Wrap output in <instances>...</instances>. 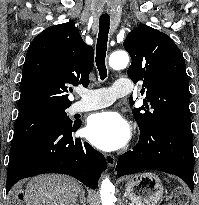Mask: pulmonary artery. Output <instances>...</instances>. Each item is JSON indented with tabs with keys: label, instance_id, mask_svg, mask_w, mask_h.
Listing matches in <instances>:
<instances>
[{
	"label": "pulmonary artery",
	"instance_id": "1",
	"mask_svg": "<svg viewBox=\"0 0 199 205\" xmlns=\"http://www.w3.org/2000/svg\"><path fill=\"white\" fill-rule=\"evenodd\" d=\"M132 85L123 78L117 79L112 86L100 89H84L79 91L81 100L73 103L71 113H82L111 105L117 98L129 94Z\"/></svg>",
	"mask_w": 199,
	"mask_h": 205
}]
</instances>
